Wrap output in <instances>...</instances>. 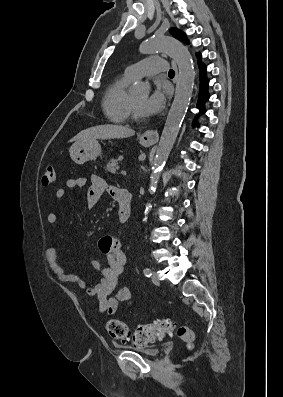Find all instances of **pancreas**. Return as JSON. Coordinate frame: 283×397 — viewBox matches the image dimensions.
Instances as JSON below:
<instances>
[{
  "instance_id": "pancreas-1",
  "label": "pancreas",
  "mask_w": 283,
  "mask_h": 397,
  "mask_svg": "<svg viewBox=\"0 0 283 397\" xmlns=\"http://www.w3.org/2000/svg\"><path fill=\"white\" fill-rule=\"evenodd\" d=\"M118 169H119V163H118V160H116V159L109 160V162L107 163V165L105 167V170L112 174H116V171Z\"/></svg>"
}]
</instances>
